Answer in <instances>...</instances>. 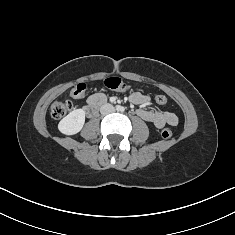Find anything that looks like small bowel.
Instances as JSON below:
<instances>
[{
    "instance_id": "1",
    "label": "small bowel",
    "mask_w": 235,
    "mask_h": 235,
    "mask_svg": "<svg viewBox=\"0 0 235 235\" xmlns=\"http://www.w3.org/2000/svg\"><path fill=\"white\" fill-rule=\"evenodd\" d=\"M106 96L102 93H95L87 98V104L104 103ZM130 101L141 106L137 110V115L145 121L153 123L157 128H163L165 125L176 126L178 117L175 113L169 111H153L146 108L150 104V98L139 92H134L130 95Z\"/></svg>"
}]
</instances>
